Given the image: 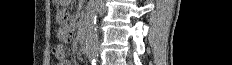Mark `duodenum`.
Segmentation results:
<instances>
[{"label": "duodenum", "mask_w": 232, "mask_h": 65, "mask_svg": "<svg viewBox=\"0 0 232 65\" xmlns=\"http://www.w3.org/2000/svg\"><path fill=\"white\" fill-rule=\"evenodd\" d=\"M79 40L82 44L85 43L86 40V28L84 24H81L80 28H79Z\"/></svg>", "instance_id": "obj_1"}]
</instances>
